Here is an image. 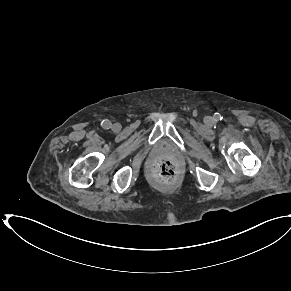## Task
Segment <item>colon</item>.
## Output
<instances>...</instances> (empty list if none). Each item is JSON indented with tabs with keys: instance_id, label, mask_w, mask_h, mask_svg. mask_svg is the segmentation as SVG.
I'll use <instances>...</instances> for the list:
<instances>
[{
	"instance_id": "1",
	"label": "colon",
	"mask_w": 291,
	"mask_h": 291,
	"mask_svg": "<svg viewBox=\"0 0 291 291\" xmlns=\"http://www.w3.org/2000/svg\"><path fill=\"white\" fill-rule=\"evenodd\" d=\"M157 180L162 184L171 183L176 178L177 167L170 159L160 160L154 168Z\"/></svg>"
}]
</instances>
